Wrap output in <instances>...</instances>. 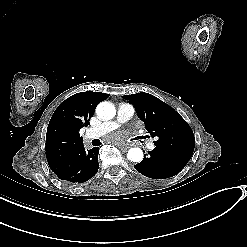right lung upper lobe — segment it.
<instances>
[{"instance_id": "obj_1", "label": "right lung upper lobe", "mask_w": 247, "mask_h": 247, "mask_svg": "<svg viewBox=\"0 0 247 247\" xmlns=\"http://www.w3.org/2000/svg\"><path fill=\"white\" fill-rule=\"evenodd\" d=\"M109 94L86 91L74 94L63 101L53 113L46 134L48 162L57 160L82 142L79 130L89 125L96 106Z\"/></svg>"}]
</instances>
